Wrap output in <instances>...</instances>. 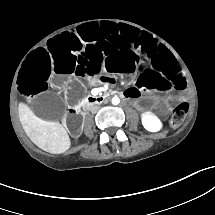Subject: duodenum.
<instances>
[{
    "mask_svg": "<svg viewBox=\"0 0 215 215\" xmlns=\"http://www.w3.org/2000/svg\"><path fill=\"white\" fill-rule=\"evenodd\" d=\"M112 94L113 93L111 92V93H107V94H100L97 96L88 97L86 100V105L102 104ZM70 111L75 114H80V108H72Z\"/></svg>",
    "mask_w": 215,
    "mask_h": 215,
    "instance_id": "obj_1",
    "label": "duodenum"
}]
</instances>
